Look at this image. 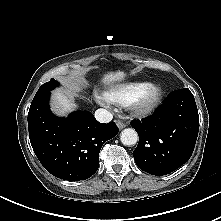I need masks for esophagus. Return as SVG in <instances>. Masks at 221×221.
<instances>
[{
  "label": "esophagus",
  "mask_w": 221,
  "mask_h": 221,
  "mask_svg": "<svg viewBox=\"0 0 221 221\" xmlns=\"http://www.w3.org/2000/svg\"><path fill=\"white\" fill-rule=\"evenodd\" d=\"M116 125H117V127L119 128V129H123V128H125L127 125H126V123H124L123 121H121V120H116Z\"/></svg>",
  "instance_id": "1"
}]
</instances>
